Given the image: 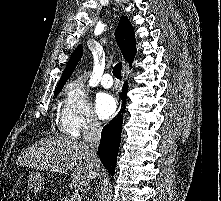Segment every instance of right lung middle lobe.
I'll return each mask as SVG.
<instances>
[{"mask_svg":"<svg viewBox=\"0 0 221 201\" xmlns=\"http://www.w3.org/2000/svg\"><path fill=\"white\" fill-rule=\"evenodd\" d=\"M59 92H60V90H59V91H56V92L54 93V95H58Z\"/></svg>","mask_w":221,"mask_h":201,"instance_id":"right-lung-middle-lobe-1","label":"right lung middle lobe"}]
</instances>
